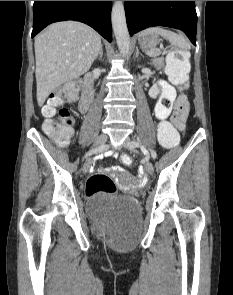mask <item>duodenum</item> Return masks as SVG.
Masks as SVG:
<instances>
[{
    "label": "duodenum",
    "mask_w": 233,
    "mask_h": 295,
    "mask_svg": "<svg viewBox=\"0 0 233 295\" xmlns=\"http://www.w3.org/2000/svg\"><path fill=\"white\" fill-rule=\"evenodd\" d=\"M91 83H92V77L88 76V78H87V88L85 89V91H84V93H83V95L81 97L80 103H79L80 110L83 111V112H86V111L89 110L90 105H91L92 100H93L94 91H93V88L91 86Z\"/></svg>",
    "instance_id": "obj_1"
}]
</instances>
